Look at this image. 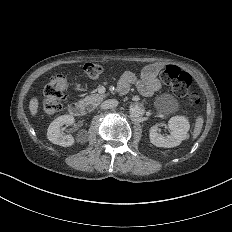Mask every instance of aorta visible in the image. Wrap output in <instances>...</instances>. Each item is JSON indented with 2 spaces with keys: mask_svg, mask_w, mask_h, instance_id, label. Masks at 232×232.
Masks as SVG:
<instances>
[{
  "mask_svg": "<svg viewBox=\"0 0 232 232\" xmlns=\"http://www.w3.org/2000/svg\"><path fill=\"white\" fill-rule=\"evenodd\" d=\"M144 113V110L142 106L138 103L131 104L129 107V114L130 116L137 118L142 116Z\"/></svg>",
  "mask_w": 232,
  "mask_h": 232,
  "instance_id": "1",
  "label": "aorta"
}]
</instances>
